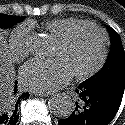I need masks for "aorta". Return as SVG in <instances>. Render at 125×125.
Wrapping results in <instances>:
<instances>
[{
	"label": "aorta",
	"instance_id": "aorta-1",
	"mask_svg": "<svg viewBox=\"0 0 125 125\" xmlns=\"http://www.w3.org/2000/svg\"><path fill=\"white\" fill-rule=\"evenodd\" d=\"M53 41L45 35H39L34 40V53L41 59L49 58L53 53ZM50 110L57 116L66 118L72 114L75 109V103L71 96L65 93L54 95L48 102Z\"/></svg>",
	"mask_w": 125,
	"mask_h": 125
}]
</instances>
